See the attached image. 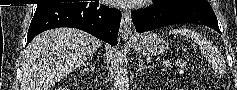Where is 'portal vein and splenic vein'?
<instances>
[{
    "mask_svg": "<svg viewBox=\"0 0 237 90\" xmlns=\"http://www.w3.org/2000/svg\"><path fill=\"white\" fill-rule=\"evenodd\" d=\"M186 64H187V62H183V64H180V66H182V68H183V66H186ZM182 68H181V70H182Z\"/></svg>",
    "mask_w": 237,
    "mask_h": 90,
    "instance_id": "obj_1",
    "label": "portal vein and splenic vein"
}]
</instances>
